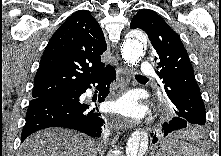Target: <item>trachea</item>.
Wrapping results in <instances>:
<instances>
[{
	"instance_id": "3493384b",
	"label": "trachea",
	"mask_w": 221,
	"mask_h": 156,
	"mask_svg": "<svg viewBox=\"0 0 221 156\" xmlns=\"http://www.w3.org/2000/svg\"><path fill=\"white\" fill-rule=\"evenodd\" d=\"M137 78H145L144 76L141 75H136Z\"/></svg>"
}]
</instances>
